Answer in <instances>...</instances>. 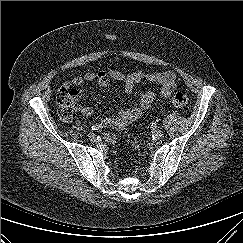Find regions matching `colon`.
Wrapping results in <instances>:
<instances>
[{
    "instance_id": "1",
    "label": "colon",
    "mask_w": 243,
    "mask_h": 243,
    "mask_svg": "<svg viewBox=\"0 0 243 243\" xmlns=\"http://www.w3.org/2000/svg\"><path fill=\"white\" fill-rule=\"evenodd\" d=\"M76 97L72 90L67 88H61L57 92L56 96V103H57V109L60 117L65 120L69 121L74 112L77 109V103H76ZM172 103L176 107H186L189 103L188 97L181 92H178L173 95L171 99Z\"/></svg>"
}]
</instances>
